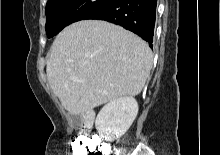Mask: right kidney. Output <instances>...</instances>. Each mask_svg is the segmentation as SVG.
Masks as SVG:
<instances>
[{"instance_id": "ca27d5eb", "label": "right kidney", "mask_w": 220, "mask_h": 155, "mask_svg": "<svg viewBox=\"0 0 220 155\" xmlns=\"http://www.w3.org/2000/svg\"><path fill=\"white\" fill-rule=\"evenodd\" d=\"M138 113V103L133 97H121L106 104L95 121L99 135L106 141L123 136Z\"/></svg>"}]
</instances>
